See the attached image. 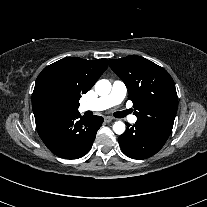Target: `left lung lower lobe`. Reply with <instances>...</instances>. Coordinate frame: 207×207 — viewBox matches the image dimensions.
Returning <instances> with one entry per match:
<instances>
[{"mask_svg": "<svg viewBox=\"0 0 207 207\" xmlns=\"http://www.w3.org/2000/svg\"><path fill=\"white\" fill-rule=\"evenodd\" d=\"M171 126L138 121L118 138L123 152L134 159H145L157 153L165 144Z\"/></svg>", "mask_w": 207, "mask_h": 207, "instance_id": "0a47b994", "label": "left lung lower lobe"}]
</instances>
